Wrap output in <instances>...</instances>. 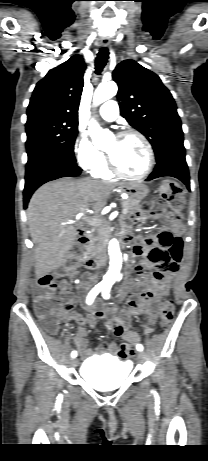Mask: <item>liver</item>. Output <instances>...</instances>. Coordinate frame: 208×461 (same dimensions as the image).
Wrapping results in <instances>:
<instances>
[{
	"instance_id": "obj_1",
	"label": "liver",
	"mask_w": 208,
	"mask_h": 461,
	"mask_svg": "<svg viewBox=\"0 0 208 461\" xmlns=\"http://www.w3.org/2000/svg\"><path fill=\"white\" fill-rule=\"evenodd\" d=\"M111 182L61 178L41 186L30 199L27 220L39 279L60 267L77 238L70 225L78 214H99L115 188ZM65 223V224H63Z\"/></svg>"
}]
</instances>
